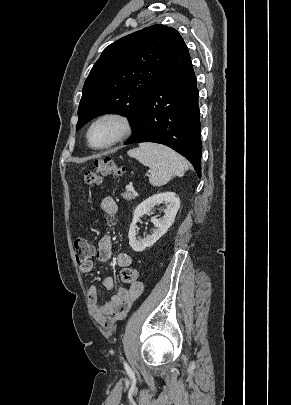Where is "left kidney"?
<instances>
[{
  "mask_svg": "<svg viewBox=\"0 0 291 405\" xmlns=\"http://www.w3.org/2000/svg\"><path fill=\"white\" fill-rule=\"evenodd\" d=\"M161 203H165L166 209L164 210V216L162 218H152L151 221L155 226L153 233L143 239L138 237L136 224L139 218L150 212L154 206ZM179 207L180 199L174 192L155 194L141 202L134 211L133 220L129 228L128 238L130 247L136 252H141L147 247H151L172 226Z\"/></svg>",
  "mask_w": 291,
  "mask_h": 405,
  "instance_id": "1",
  "label": "left kidney"
}]
</instances>
